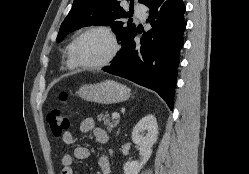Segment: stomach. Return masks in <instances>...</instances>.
I'll list each match as a JSON object with an SVG mask.
<instances>
[{"instance_id": "1", "label": "stomach", "mask_w": 249, "mask_h": 174, "mask_svg": "<svg viewBox=\"0 0 249 174\" xmlns=\"http://www.w3.org/2000/svg\"><path fill=\"white\" fill-rule=\"evenodd\" d=\"M76 94L87 101L113 104L126 101L131 95V90L116 81L106 80L97 84L83 85Z\"/></svg>"}]
</instances>
